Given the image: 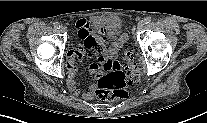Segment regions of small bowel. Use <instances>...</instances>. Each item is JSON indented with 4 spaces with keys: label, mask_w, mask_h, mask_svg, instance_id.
<instances>
[{
    "label": "small bowel",
    "mask_w": 207,
    "mask_h": 123,
    "mask_svg": "<svg viewBox=\"0 0 207 123\" xmlns=\"http://www.w3.org/2000/svg\"><path fill=\"white\" fill-rule=\"evenodd\" d=\"M74 27L77 30V41L67 52V86L69 91L74 96H82L86 100H91L94 97L93 75L98 72V65L93 64L90 67V74L88 77L90 83L88 90L81 93L75 80V76L78 71L76 61H84L89 57H95L98 58L99 62L101 63L103 60H105L101 57V54H112L114 48L107 44L104 31L101 29L94 31L91 28L90 22L88 20L80 19L74 23ZM84 47H86L89 51L86 52Z\"/></svg>",
    "instance_id": "1"
}]
</instances>
